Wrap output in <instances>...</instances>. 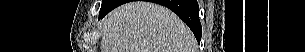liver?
I'll return each instance as SVG.
<instances>
[{
  "mask_svg": "<svg viewBox=\"0 0 305 52\" xmlns=\"http://www.w3.org/2000/svg\"><path fill=\"white\" fill-rule=\"evenodd\" d=\"M101 52H196L190 29L171 10L133 1L102 20Z\"/></svg>",
  "mask_w": 305,
  "mask_h": 52,
  "instance_id": "6515ba94",
  "label": "liver"
}]
</instances>
